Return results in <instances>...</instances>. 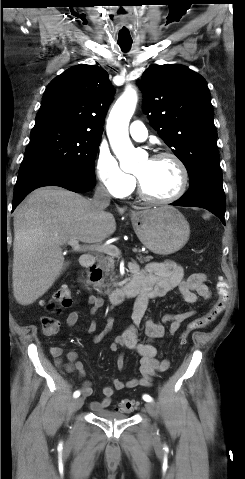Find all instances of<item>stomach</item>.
I'll list each match as a JSON object with an SVG mask.
<instances>
[{
  "label": "stomach",
  "instance_id": "stomach-1",
  "mask_svg": "<svg viewBox=\"0 0 245 479\" xmlns=\"http://www.w3.org/2000/svg\"><path fill=\"white\" fill-rule=\"evenodd\" d=\"M131 221L142 244L157 254L174 253L189 239V223L170 206L137 210L132 213Z\"/></svg>",
  "mask_w": 245,
  "mask_h": 479
}]
</instances>
